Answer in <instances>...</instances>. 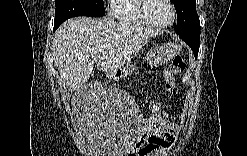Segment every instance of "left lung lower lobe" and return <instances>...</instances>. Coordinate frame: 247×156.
<instances>
[{
	"label": "left lung lower lobe",
	"mask_w": 247,
	"mask_h": 156,
	"mask_svg": "<svg viewBox=\"0 0 247 156\" xmlns=\"http://www.w3.org/2000/svg\"><path fill=\"white\" fill-rule=\"evenodd\" d=\"M178 35L184 42H186L191 47L195 57H197L200 42V26L194 27L186 33Z\"/></svg>",
	"instance_id": "0a47b994"
}]
</instances>
